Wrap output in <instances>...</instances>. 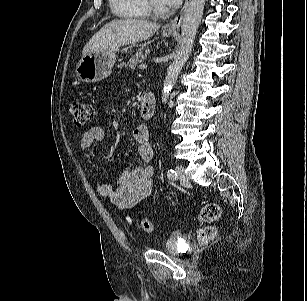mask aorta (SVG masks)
I'll list each match as a JSON object with an SVG mask.
<instances>
[{"instance_id": "1", "label": "aorta", "mask_w": 307, "mask_h": 301, "mask_svg": "<svg viewBox=\"0 0 307 301\" xmlns=\"http://www.w3.org/2000/svg\"><path fill=\"white\" fill-rule=\"evenodd\" d=\"M206 0H190L185 11L181 25L180 47L174 56V60L167 69L162 90V103L167 102L170 91L177 82L178 75L185 65L200 25Z\"/></svg>"}]
</instances>
